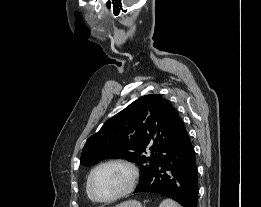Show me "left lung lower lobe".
<instances>
[{"label": "left lung lower lobe", "mask_w": 261, "mask_h": 207, "mask_svg": "<svg viewBox=\"0 0 261 207\" xmlns=\"http://www.w3.org/2000/svg\"><path fill=\"white\" fill-rule=\"evenodd\" d=\"M134 193L161 194L177 201L183 207H197L196 157L185 127L174 148L140 181Z\"/></svg>", "instance_id": "0a47b994"}]
</instances>
